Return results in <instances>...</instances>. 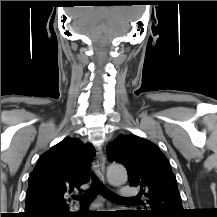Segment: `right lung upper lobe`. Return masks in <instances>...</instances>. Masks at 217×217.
Returning a JSON list of instances; mask_svg holds the SVG:
<instances>
[{"mask_svg": "<svg viewBox=\"0 0 217 217\" xmlns=\"http://www.w3.org/2000/svg\"><path fill=\"white\" fill-rule=\"evenodd\" d=\"M95 149L67 137L45 152L29 177L23 217H68L66 197L89 181Z\"/></svg>", "mask_w": 217, "mask_h": 217, "instance_id": "1", "label": "right lung upper lobe"}]
</instances>
